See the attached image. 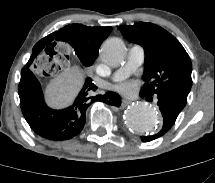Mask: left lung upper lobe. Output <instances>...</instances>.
<instances>
[{"label": "left lung upper lobe", "instance_id": "5c2ea615", "mask_svg": "<svg viewBox=\"0 0 215 183\" xmlns=\"http://www.w3.org/2000/svg\"><path fill=\"white\" fill-rule=\"evenodd\" d=\"M130 42L145 51V71L141 92L144 95H167L183 106L192 86L191 60L180 42L169 32L151 23L118 26Z\"/></svg>", "mask_w": 215, "mask_h": 183}]
</instances>
